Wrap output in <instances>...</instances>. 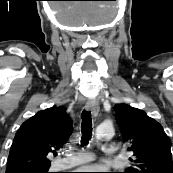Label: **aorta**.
I'll use <instances>...</instances> for the list:
<instances>
[{"label": "aorta", "mask_w": 173, "mask_h": 173, "mask_svg": "<svg viewBox=\"0 0 173 173\" xmlns=\"http://www.w3.org/2000/svg\"><path fill=\"white\" fill-rule=\"evenodd\" d=\"M114 135V127L111 123H102L96 129L98 138H111Z\"/></svg>", "instance_id": "1"}]
</instances>
